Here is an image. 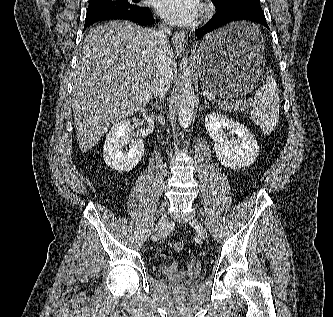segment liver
Wrapping results in <instances>:
<instances>
[{"mask_svg": "<svg viewBox=\"0 0 333 317\" xmlns=\"http://www.w3.org/2000/svg\"><path fill=\"white\" fill-rule=\"evenodd\" d=\"M163 57L171 82L176 75L173 52H159L153 30L113 21L86 35L72 83V110L82 153L112 126L148 104Z\"/></svg>", "mask_w": 333, "mask_h": 317, "instance_id": "6515ba94", "label": "liver"}]
</instances>
